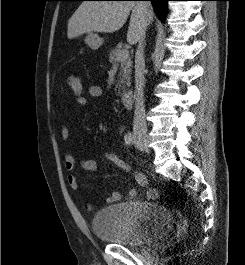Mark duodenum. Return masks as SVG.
Here are the masks:
<instances>
[{
    "label": "duodenum",
    "instance_id": "1",
    "mask_svg": "<svg viewBox=\"0 0 245 265\" xmlns=\"http://www.w3.org/2000/svg\"><path fill=\"white\" fill-rule=\"evenodd\" d=\"M122 101H123V104L126 107H131V105L133 103V92H131V91H125L122 94Z\"/></svg>",
    "mask_w": 245,
    "mask_h": 265
}]
</instances>
